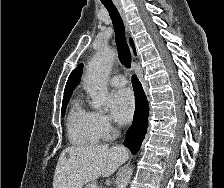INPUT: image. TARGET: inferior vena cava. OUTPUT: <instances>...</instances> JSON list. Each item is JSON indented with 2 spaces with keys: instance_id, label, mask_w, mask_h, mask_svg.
<instances>
[{
  "instance_id": "obj_1",
  "label": "inferior vena cava",
  "mask_w": 224,
  "mask_h": 188,
  "mask_svg": "<svg viewBox=\"0 0 224 188\" xmlns=\"http://www.w3.org/2000/svg\"><path fill=\"white\" fill-rule=\"evenodd\" d=\"M117 134H118V132L115 131V132H114V136H116Z\"/></svg>"
}]
</instances>
